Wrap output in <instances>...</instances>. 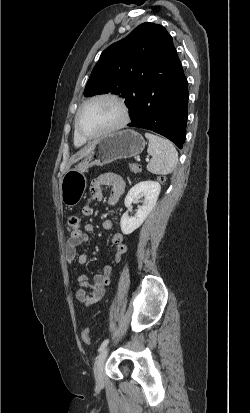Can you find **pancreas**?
Returning a JSON list of instances; mask_svg holds the SVG:
<instances>
[{
	"mask_svg": "<svg viewBox=\"0 0 250 413\" xmlns=\"http://www.w3.org/2000/svg\"><path fill=\"white\" fill-rule=\"evenodd\" d=\"M131 169H132V171L135 172V173H137V172L140 171V169L138 168L137 165L132 166Z\"/></svg>",
	"mask_w": 250,
	"mask_h": 413,
	"instance_id": "obj_1",
	"label": "pancreas"
}]
</instances>
